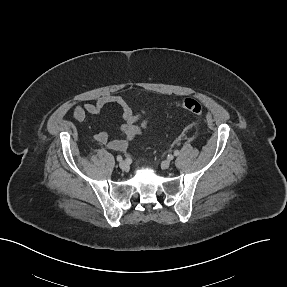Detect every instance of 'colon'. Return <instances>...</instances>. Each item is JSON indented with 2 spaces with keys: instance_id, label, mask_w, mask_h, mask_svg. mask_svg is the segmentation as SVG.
<instances>
[{
  "instance_id": "5ec220e1",
  "label": "colon",
  "mask_w": 287,
  "mask_h": 287,
  "mask_svg": "<svg viewBox=\"0 0 287 287\" xmlns=\"http://www.w3.org/2000/svg\"><path fill=\"white\" fill-rule=\"evenodd\" d=\"M181 110L194 115H200L203 112L202 104L194 98H185L176 103Z\"/></svg>"
}]
</instances>
